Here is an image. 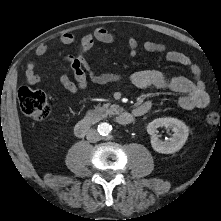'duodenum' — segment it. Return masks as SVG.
<instances>
[{
  "mask_svg": "<svg viewBox=\"0 0 221 221\" xmlns=\"http://www.w3.org/2000/svg\"><path fill=\"white\" fill-rule=\"evenodd\" d=\"M150 109V105L143 104L138 107L137 112L129 113V112H123V111H116L114 113V119L116 122L120 125L126 126L132 124L137 116H142L146 114ZM98 116V111H96L93 115H90L82 120H80L74 128V133L77 137H84L88 131L91 129L95 117Z\"/></svg>",
  "mask_w": 221,
  "mask_h": 221,
  "instance_id": "obj_1",
  "label": "duodenum"
}]
</instances>
